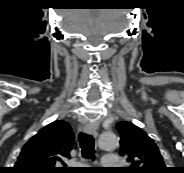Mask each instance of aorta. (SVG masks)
Wrapping results in <instances>:
<instances>
[{
  "label": "aorta",
  "mask_w": 184,
  "mask_h": 173,
  "mask_svg": "<svg viewBox=\"0 0 184 173\" xmlns=\"http://www.w3.org/2000/svg\"><path fill=\"white\" fill-rule=\"evenodd\" d=\"M119 144L118 138L113 132H104L99 138V147L102 150H114Z\"/></svg>",
  "instance_id": "762f6f07"
}]
</instances>
